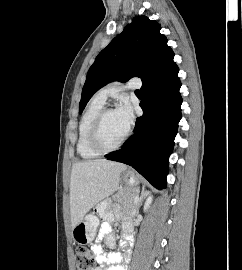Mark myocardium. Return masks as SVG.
<instances>
[{"mask_svg": "<svg viewBox=\"0 0 242 270\" xmlns=\"http://www.w3.org/2000/svg\"><path fill=\"white\" fill-rule=\"evenodd\" d=\"M113 111H115V109L113 108H103L99 112V114L96 116L95 120L93 121L90 132H89L88 143L93 150H95L96 152L100 154L110 153L119 149L129 136V129H128L123 135V137L113 146H105L101 142L100 134H101L103 122L106 116Z\"/></svg>", "mask_w": 242, "mask_h": 270, "instance_id": "obj_1", "label": "myocardium"}]
</instances>
